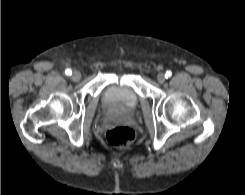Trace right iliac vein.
Listing matches in <instances>:
<instances>
[{
    "instance_id": "right-iliac-vein-1",
    "label": "right iliac vein",
    "mask_w": 245,
    "mask_h": 195,
    "mask_svg": "<svg viewBox=\"0 0 245 195\" xmlns=\"http://www.w3.org/2000/svg\"><path fill=\"white\" fill-rule=\"evenodd\" d=\"M71 78L73 81H79L81 79V73L79 71H74Z\"/></svg>"
}]
</instances>
